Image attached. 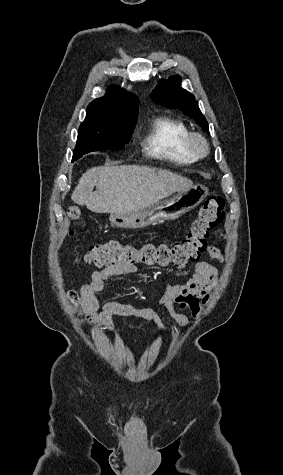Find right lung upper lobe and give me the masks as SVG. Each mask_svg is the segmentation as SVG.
Returning <instances> with one entry per match:
<instances>
[{"label":"right lung upper lobe","instance_id":"right-lung-upper-lobe-1","mask_svg":"<svg viewBox=\"0 0 283 475\" xmlns=\"http://www.w3.org/2000/svg\"><path fill=\"white\" fill-rule=\"evenodd\" d=\"M138 104L139 101L135 95L122 90L117 86H111L103 97L93 100L89 106L118 107L135 106Z\"/></svg>","mask_w":283,"mask_h":475}]
</instances>
